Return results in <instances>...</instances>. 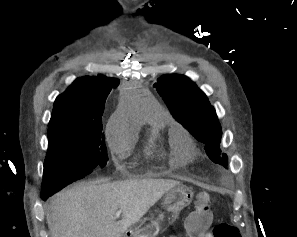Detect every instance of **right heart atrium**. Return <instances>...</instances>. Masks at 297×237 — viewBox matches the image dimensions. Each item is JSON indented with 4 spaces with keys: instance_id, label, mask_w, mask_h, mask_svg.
<instances>
[{
    "instance_id": "d8ad5b80",
    "label": "right heart atrium",
    "mask_w": 297,
    "mask_h": 237,
    "mask_svg": "<svg viewBox=\"0 0 297 237\" xmlns=\"http://www.w3.org/2000/svg\"><path fill=\"white\" fill-rule=\"evenodd\" d=\"M113 125L109 124L107 126V134H108V139L110 142H113L114 139V132L112 131Z\"/></svg>"
}]
</instances>
